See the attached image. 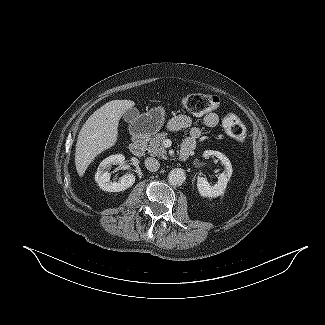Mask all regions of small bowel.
I'll return each mask as SVG.
<instances>
[{"label":"small bowel","mask_w":325,"mask_h":325,"mask_svg":"<svg viewBox=\"0 0 325 325\" xmlns=\"http://www.w3.org/2000/svg\"><path fill=\"white\" fill-rule=\"evenodd\" d=\"M219 118L215 113H207L203 117V123L206 127L214 128L217 126ZM168 129L172 131L189 129V136L184 140L183 145H191L195 148L197 140L201 136V130L193 126L192 119L187 115H177L168 122Z\"/></svg>","instance_id":"1"}]
</instances>
